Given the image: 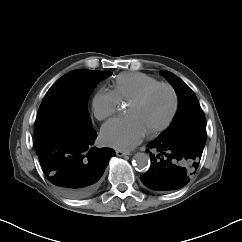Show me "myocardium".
Returning a JSON list of instances; mask_svg holds the SVG:
<instances>
[{"label": "myocardium", "mask_w": 242, "mask_h": 242, "mask_svg": "<svg viewBox=\"0 0 242 242\" xmlns=\"http://www.w3.org/2000/svg\"><path fill=\"white\" fill-rule=\"evenodd\" d=\"M161 87H165L167 89H169L172 93V96H173V108H172V111L168 117V119L162 123L161 125L149 130L147 133L149 135H156V134H159L163 131H165L166 129H168L171 124L174 122L176 116H177V113H178V110H179V104H180V101H179V95H178V92L176 90V88L170 84V83H167V82H159V83H156L148 88H146L144 91H142L140 94H138L137 96H135L134 98H132L129 102L130 103H142L144 102L156 89L158 88H161Z\"/></svg>", "instance_id": "obj_1"}]
</instances>
